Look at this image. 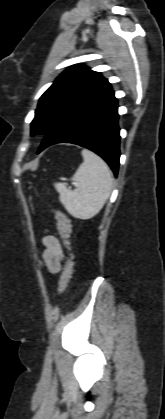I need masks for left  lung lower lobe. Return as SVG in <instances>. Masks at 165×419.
Instances as JSON below:
<instances>
[{"label":"left lung lower lobe","instance_id":"obj_1","mask_svg":"<svg viewBox=\"0 0 165 419\" xmlns=\"http://www.w3.org/2000/svg\"><path fill=\"white\" fill-rule=\"evenodd\" d=\"M119 142L117 99L109 86L74 107L44 137L37 153L57 143L77 144L101 156L117 175Z\"/></svg>","mask_w":165,"mask_h":419}]
</instances>
